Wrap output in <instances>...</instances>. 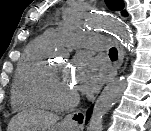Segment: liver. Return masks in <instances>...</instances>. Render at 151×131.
<instances>
[{
    "instance_id": "liver-1",
    "label": "liver",
    "mask_w": 151,
    "mask_h": 131,
    "mask_svg": "<svg viewBox=\"0 0 151 131\" xmlns=\"http://www.w3.org/2000/svg\"><path fill=\"white\" fill-rule=\"evenodd\" d=\"M58 120V116L43 110L21 112L10 120L7 131H47Z\"/></svg>"
}]
</instances>
